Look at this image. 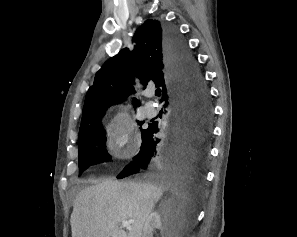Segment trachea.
<instances>
[{
	"mask_svg": "<svg viewBox=\"0 0 297 237\" xmlns=\"http://www.w3.org/2000/svg\"><path fill=\"white\" fill-rule=\"evenodd\" d=\"M155 95H156V96H161V90H160V89H156V91H155Z\"/></svg>",
	"mask_w": 297,
	"mask_h": 237,
	"instance_id": "obj_1",
	"label": "trachea"
}]
</instances>
